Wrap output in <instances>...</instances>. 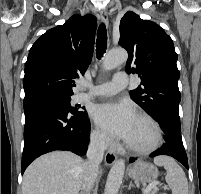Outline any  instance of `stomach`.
I'll use <instances>...</instances> for the list:
<instances>
[{"instance_id":"1","label":"stomach","mask_w":201,"mask_h":194,"mask_svg":"<svg viewBox=\"0 0 201 194\" xmlns=\"http://www.w3.org/2000/svg\"><path fill=\"white\" fill-rule=\"evenodd\" d=\"M128 175L135 181L151 183L157 179L158 169L150 163L138 161L129 169Z\"/></svg>"}]
</instances>
